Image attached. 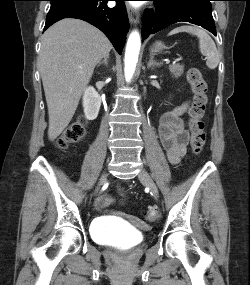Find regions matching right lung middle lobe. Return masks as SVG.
I'll return each mask as SVG.
<instances>
[{
    "mask_svg": "<svg viewBox=\"0 0 250 285\" xmlns=\"http://www.w3.org/2000/svg\"><path fill=\"white\" fill-rule=\"evenodd\" d=\"M50 1H51V8H55V7L62 6L65 4L74 3V2H82L86 0H50Z\"/></svg>",
    "mask_w": 250,
    "mask_h": 285,
    "instance_id": "dd1d6c3e",
    "label": "right lung middle lobe"
}]
</instances>
